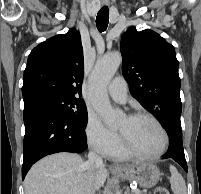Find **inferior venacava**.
I'll return each mask as SVG.
<instances>
[{
    "mask_svg": "<svg viewBox=\"0 0 201 194\" xmlns=\"http://www.w3.org/2000/svg\"><path fill=\"white\" fill-rule=\"evenodd\" d=\"M103 165V159L94 151H90L88 154V160L84 163L85 168L90 172V176L82 184L78 194H95V190L92 186V172L99 166Z\"/></svg>",
    "mask_w": 201,
    "mask_h": 194,
    "instance_id": "602c4592",
    "label": "inferior vena cava"
}]
</instances>
